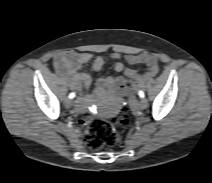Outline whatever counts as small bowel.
<instances>
[{
    "instance_id": "1",
    "label": "small bowel",
    "mask_w": 212,
    "mask_h": 183,
    "mask_svg": "<svg viewBox=\"0 0 212 183\" xmlns=\"http://www.w3.org/2000/svg\"><path fill=\"white\" fill-rule=\"evenodd\" d=\"M109 58L114 62V70L117 73L123 72L124 76L110 75L99 78L96 83L98 91L109 90L121 95H132L143 86L148 76L154 75L158 71V58L154 54H127L124 57L126 62L131 65H145L147 67L145 74H139L134 69H125L121 56L117 53L111 54ZM90 62L94 71H100L105 64V58L103 56L94 57L90 53L69 51L59 53L54 59L56 71L76 91L88 88L92 82L91 76L81 70L83 65ZM90 98L91 95L80 97L77 101V107L84 109Z\"/></svg>"
}]
</instances>
